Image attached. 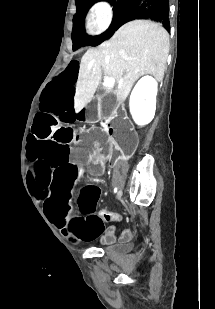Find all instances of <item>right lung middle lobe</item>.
Segmentation results:
<instances>
[{
	"label": "right lung middle lobe",
	"mask_w": 215,
	"mask_h": 309,
	"mask_svg": "<svg viewBox=\"0 0 215 309\" xmlns=\"http://www.w3.org/2000/svg\"><path fill=\"white\" fill-rule=\"evenodd\" d=\"M97 1L100 0H76L77 13L74 18V26L72 31L74 51L83 46H96L102 43L104 40L108 39L115 32V30H117V23L121 14L133 0H107L111 5L114 6L113 21L109 29L103 34L91 37L85 34L83 23L89 8Z\"/></svg>",
	"instance_id": "dd1d6c3e"
}]
</instances>
